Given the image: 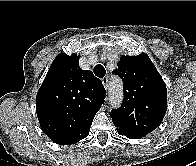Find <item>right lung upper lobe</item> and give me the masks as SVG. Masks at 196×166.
I'll use <instances>...</instances> for the list:
<instances>
[{
	"label": "right lung upper lobe",
	"instance_id": "1",
	"mask_svg": "<svg viewBox=\"0 0 196 166\" xmlns=\"http://www.w3.org/2000/svg\"><path fill=\"white\" fill-rule=\"evenodd\" d=\"M79 56L60 53L54 59L36 98L42 131L55 143L68 145L88 136L106 91Z\"/></svg>",
	"mask_w": 196,
	"mask_h": 166
}]
</instances>
